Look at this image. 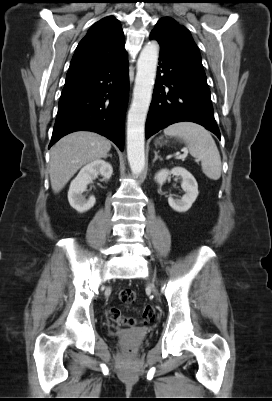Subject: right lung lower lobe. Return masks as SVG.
<instances>
[{
    "instance_id": "right-lung-lower-lobe-1",
    "label": "right lung lower lobe",
    "mask_w": 272,
    "mask_h": 401,
    "mask_svg": "<svg viewBox=\"0 0 272 401\" xmlns=\"http://www.w3.org/2000/svg\"><path fill=\"white\" fill-rule=\"evenodd\" d=\"M129 75L126 51L79 78L65 82L49 147L74 131L89 130L124 145Z\"/></svg>"
}]
</instances>
